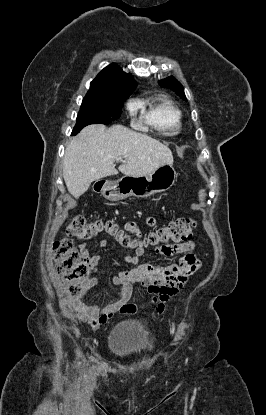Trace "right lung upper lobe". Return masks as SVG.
<instances>
[{
	"instance_id": "obj_1",
	"label": "right lung upper lobe",
	"mask_w": 266,
	"mask_h": 415,
	"mask_svg": "<svg viewBox=\"0 0 266 415\" xmlns=\"http://www.w3.org/2000/svg\"><path fill=\"white\" fill-rule=\"evenodd\" d=\"M136 88V82L131 74L125 73L117 64L104 68L90 84L86 96L110 97L121 94H131Z\"/></svg>"
}]
</instances>
